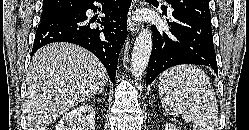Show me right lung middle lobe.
<instances>
[{"label": "right lung middle lobe", "mask_w": 249, "mask_h": 130, "mask_svg": "<svg viewBox=\"0 0 249 130\" xmlns=\"http://www.w3.org/2000/svg\"><path fill=\"white\" fill-rule=\"evenodd\" d=\"M81 8L67 10V11H43L41 13V22L57 20L60 18L68 17L78 12Z\"/></svg>", "instance_id": "1"}]
</instances>
